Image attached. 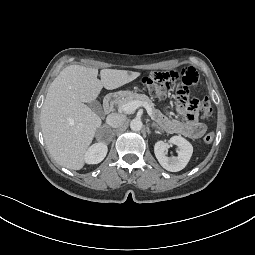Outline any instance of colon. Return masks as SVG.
<instances>
[{"label":"colon","mask_w":255,"mask_h":255,"mask_svg":"<svg viewBox=\"0 0 255 255\" xmlns=\"http://www.w3.org/2000/svg\"><path fill=\"white\" fill-rule=\"evenodd\" d=\"M142 84L153 94H160L164 90L169 89L173 84H176L179 104L188 112H201L203 117H208L211 114V104L207 98L204 99H189L190 88L196 85L198 74L194 68L187 67L180 71L170 72H151L142 78ZM214 133L210 132L205 135L206 143L213 142Z\"/></svg>","instance_id":"colon-1"}]
</instances>
